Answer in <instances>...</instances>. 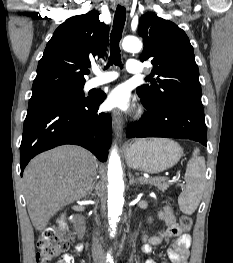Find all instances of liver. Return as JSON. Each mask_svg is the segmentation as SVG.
Segmentation results:
<instances>
[{
  "instance_id": "liver-1",
  "label": "liver",
  "mask_w": 233,
  "mask_h": 263,
  "mask_svg": "<svg viewBox=\"0 0 233 263\" xmlns=\"http://www.w3.org/2000/svg\"><path fill=\"white\" fill-rule=\"evenodd\" d=\"M97 160L84 148L64 145L36 156L24 170V194L36 230L64 206L87 195L95 182Z\"/></svg>"
}]
</instances>
